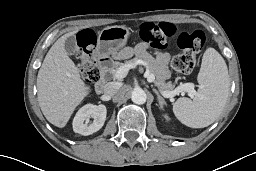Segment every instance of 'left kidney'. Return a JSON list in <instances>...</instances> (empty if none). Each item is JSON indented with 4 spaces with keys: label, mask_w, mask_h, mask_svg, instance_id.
<instances>
[{
    "label": "left kidney",
    "mask_w": 256,
    "mask_h": 171,
    "mask_svg": "<svg viewBox=\"0 0 256 171\" xmlns=\"http://www.w3.org/2000/svg\"><path fill=\"white\" fill-rule=\"evenodd\" d=\"M164 117H165V119H166L167 121L170 120L169 117H168V115H164Z\"/></svg>",
    "instance_id": "left-kidney-1"
}]
</instances>
